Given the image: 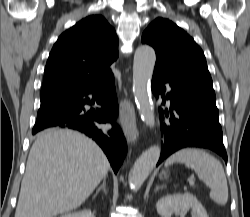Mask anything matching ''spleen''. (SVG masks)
Returning <instances> with one entry per match:
<instances>
[{
	"label": "spleen",
	"instance_id": "obj_1",
	"mask_svg": "<svg viewBox=\"0 0 250 217\" xmlns=\"http://www.w3.org/2000/svg\"><path fill=\"white\" fill-rule=\"evenodd\" d=\"M175 162L183 163L195 171L198 178L210 188V198L218 205L224 206L228 201V185L224 169L219 160L195 148L182 149L171 155L165 166Z\"/></svg>",
	"mask_w": 250,
	"mask_h": 217
}]
</instances>
